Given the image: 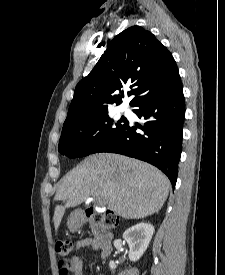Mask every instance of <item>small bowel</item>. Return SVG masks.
Returning a JSON list of instances; mask_svg holds the SVG:
<instances>
[{"instance_id":"1","label":"small bowel","mask_w":225,"mask_h":275,"mask_svg":"<svg viewBox=\"0 0 225 275\" xmlns=\"http://www.w3.org/2000/svg\"><path fill=\"white\" fill-rule=\"evenodd\" d=\"M88 247H92L95 250H99L98 242L94 238H84V239L78 240L75 243V249L77 251H80ZM69 261L71 263V268L74 275H82L83 264H82L80 255L78 253L72 254L69 258Z\"/></svg>"}]
</instances>
